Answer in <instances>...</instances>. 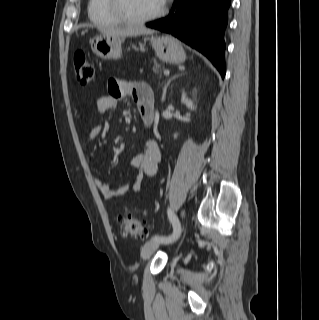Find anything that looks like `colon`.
Masks as SVG:
<instances>
[{
  "label": "colon",
  "mask_w": 319,
  "mask_h": 320,
  "mask_svg": "<svg viewBox=\"0 0 319 320\" xmlns=\"http://www.w3.org/2000/svg\"><path fill=\"white\" fill-rule=\"evenodd\" d=\"M74 70L78 82L82 85L90 83L95 77V68L83 51L74 54ZM122 235L124 237H147L150 230L144 221L131 214H123L118 217Z\"/></svg>",
  "instance_id": "5ec220e1"
}]
</instances>
